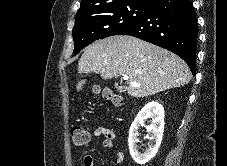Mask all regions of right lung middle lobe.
Masks as SVG:
<instances>
[{
	"instance_id": "dd1d6c3e",
	"label": "right lung middle lobe",
	"mask_w": 227,
	"mask_h": 166,
	"mask_svg": "<svg viewBox=\"0 0 227 166\" xmlns=\"http://www.w3.org/2000/svg\"><path fill=\"white\" fill-rule=\"evenodd\" d=\"M149 8V5L126 3L77 14L72 31L74 54L98 39L117 35L141 19Z\"/></svg>"
}]
</instances>
